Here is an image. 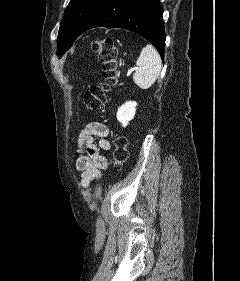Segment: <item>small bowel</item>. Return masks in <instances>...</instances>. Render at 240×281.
Masks as SVG:
<instances>
[{
  "instance_id": "small-bowel-1",
  "label": "small bowel",
  "mask_w": 240,
  "mask_h": 281,
  "mask_svg": "<svg viewBox=\"0 0 240 281\" xmlns=\"http://www.w3.org/2000/svg\"><path fill=\"white\" fill-rule=\"evenodd\" d=\"M108 134L109 128L101 122H89L79 133L76 169L81 172L83 188H88L91 182L99 179L101 171L107 168V159L102 151L111 149ZM95 138L98 139L97 143Z\"/></svg>"
}]
</instances>
